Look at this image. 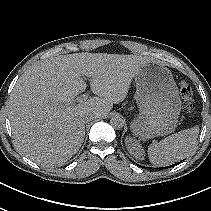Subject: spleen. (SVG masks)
I'll return each instance as SVG.
<instances>
[{"mask_svg": "<svg viewBox=\"0 0 211 211\" xmlns=\"http://www.w3.org/2000/svg\"><path fill=\"white\" fill-rule=\"evenodd\" d=\"M199 134V127L194 126L172 134L160 142H153L148 146V157L155 166H167L188 156L195 148Z\"/></svg>", "mask_w": 211, "mask_h": 211, "instance_id": "3e777b00", "label": "spleen"}]
</instances>
